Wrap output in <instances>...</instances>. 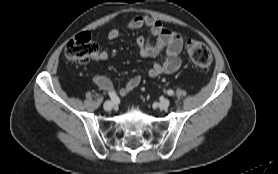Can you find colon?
Instances as JSON below:
<instances>
[{
  "mask_svg": "<svg viewBox=\"0 0 278 174\" xmlns=\"http://www.w3.org/2000/svg\"><path fill=\"white\" fill-rule=\"evenodd\" d=\"M97 50L98 46L90 34L83 32L69 41L65 48V55L73 62L86 64ZM186 50L195 67L200 70H207L210 67L212 55L205 44L195 39H188Z\"/></svg>",
  "mask_w": 278,
  "mask_h": 174,
  "instance_id": "obj_1",
  "label": "colon"
}]
</instances>
